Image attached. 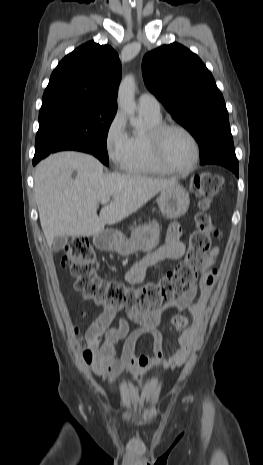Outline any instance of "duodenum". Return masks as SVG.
<instances>
[{
  "mask_svg": "<svg viewBox=\"0 0 263 465\" xmlns=\"http://www.w3.org/2000/svg\"><path fill=\"white\" fill-rule=\"evenodd\" d=\"M109 240L105 236H99L96 239V246L100 249H104L108 246Z\"/></svg>",
  "mask_w": 263,
  "mask_h": 465,
  "instance_id": "410a0bca",
  "label": "duodenum"
}]
</instances>
